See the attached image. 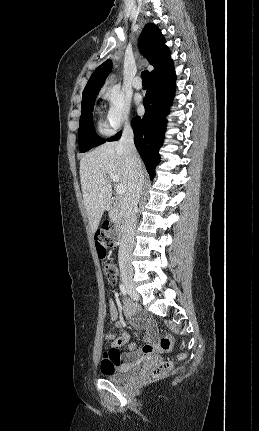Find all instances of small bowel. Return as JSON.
Listing matches in <instances>:
<instances>
[{
    "label": "small bowel",
    "mask_w": 259,
    "mask_h": 431,
    "mask_svg": "<svg viewBox=\"0 0 259 431\" xmlns=\"http://www.w3.org/2000/svg\"><path fill=\"white\" fill-rule=\"evenodd\" d=\"M107 304L110 321L114 324L116 331L106 334V339L111 342L112 347L103 353L101 360V370L103 373L110 372L118 367L124 366L130 359L138 356L135 344L131 345L129 352L124 355L118 350V347H121L128 342L129 334L124 330L121 322L118 321V309L114 299L110 298ZM122 312L131 320L134 327L144 328L150 334L153 333L154 328L149 321L145 319L135 320L133 318L135 311L128 304L123 308Z\"/></svg>",
    "instance_id": "1"
}]
</instances>
